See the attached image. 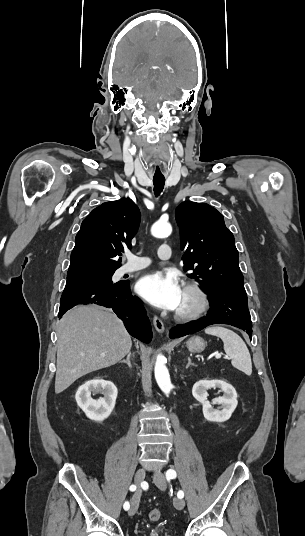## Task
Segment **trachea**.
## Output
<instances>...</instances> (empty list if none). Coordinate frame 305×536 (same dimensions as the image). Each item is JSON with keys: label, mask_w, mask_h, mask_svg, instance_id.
Returning <instances> with one entry per match:
<instances>
[{"label": "trachea", "mask_w": 305, "mask_h": 536, "mask_svg": "<svg viewBox=\"0 0 305 536\" xmlns=\"http://www.w3.org/2000/svg\"><path fill=\"white\" fill-rule=\"evenodd\" d=\"M154 194L156 197L160 195L165 185L164 177H153Z\"/></svg>", "instance_id": "obj_1"}]
</instances>
